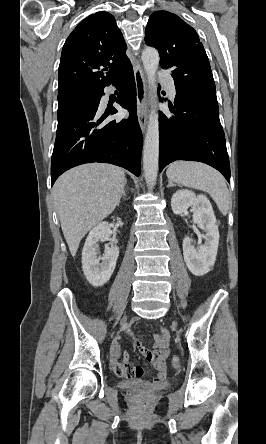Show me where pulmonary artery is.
Listing matches in <instances>:
<instances>
[{
	"label": "pulmonary artery",
	"instance_id": "obj_1",
	"mask_svg": "<svg viewBox=\"0 0 266 444\" xmlns=\"http://www.w3.org/2000/svg\"><path fill=\"white\" fill-rule=\"evenodd\" d=\"M160 78L165 85L170 97L174 98L176 96V89L173 78L164 73H160Z\"/></svg>",
	"mask_w": 266,
	"mask_h": 444
}]
</instances>
